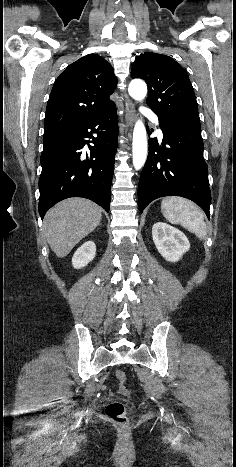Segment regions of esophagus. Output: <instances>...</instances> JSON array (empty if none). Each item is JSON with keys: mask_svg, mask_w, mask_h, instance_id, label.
Segmentation results:
<instances>
[{"mask_svg": "<svg viewBox=\"0 0 236 467\" xmlns=\"http://www.w3.org/2000/svg\"><path fill=\"white\" fill-rule=\"evenodd\" d=\"M125 120L129 126H132L135 121V107L133 102L127 96L125 103Z\"/></svg>", "mask_w": 236, "mask_h": 467, "instance_id": "34e87169", "label": "esophagus"}]
</instances>
